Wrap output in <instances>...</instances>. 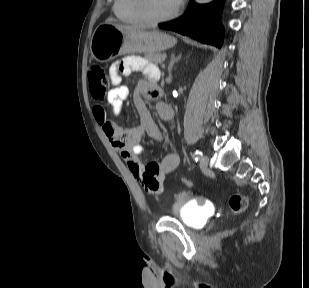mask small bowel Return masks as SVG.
I'll return each instance as SVG.
<instances>
[{
  "mask_svg": "<svg viewBox=\"0 0 309 288\" xmlns=\"http://www.w3.org/2000/svg\"><path fill=\"white\" fill-rule=\"evenodd\" d=\"M134 70L142 71L146 75L145 79L138 82L133 94L139 125L131 129L118 126L107 118L102 106H96L93 113L97 122L103 127L112 147L121 154L131 175L148 193L159 194L163 191L166 177L178 167L179 156L170 152L160 161H151L148 164L142 163L139 159L143 152L140 142L144 135H149L166 144L165 137L153 120L144 99L145 97L155 99L161 95L156 66L136 56H126L113 63L110 67V76L114 87L107 96V102L116 115L122 111L130 94L128 86L120 84L122 76ZM156 110L162 120L168 124L173 122L174 110L171 106L158 102Z\"/></svg>",
  "mask_w": 309,
  "mask_h": 288,
  "instance_id": "obj_1",
  "label": "small bowel"
}]
</instances>
